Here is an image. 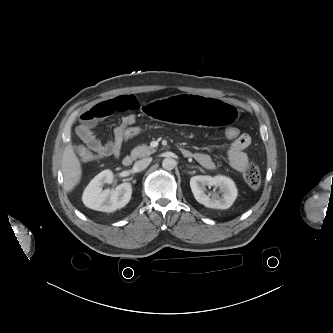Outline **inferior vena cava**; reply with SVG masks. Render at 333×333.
Returning <instances> with one entry per match:
<instances>
[{
	"label": "inferior vena cava",
	"instance_id": "1",
	"mask_svg": "<svg viewBox=\"0 0 333 333\" xmlns=\"http://www.w3.org/2000/svg\"><path fill=\"white\" fill-rule=\"evenodd\" d=\"M151 161H152V158H145V159L139 160L134 163V169L136 171H142L148 167V165L151 163Z\"/></svg>",
	"mask_w": 333,
	"mask_h": 333
}]
</instances>
